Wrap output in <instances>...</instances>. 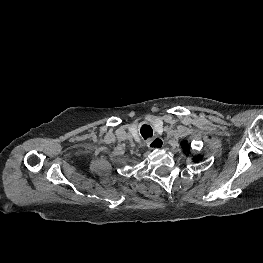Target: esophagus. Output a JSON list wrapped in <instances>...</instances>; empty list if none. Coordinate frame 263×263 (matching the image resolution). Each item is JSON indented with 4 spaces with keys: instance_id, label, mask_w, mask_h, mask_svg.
<instances>
[{
    "instance_id": "1",
    "label": "esophagus",
    "mask_w": 263,
    "mask_h": 263,
    "mask_svg": "<svg viewBox=\"0 0 263 263\" xmlns=\"http://www.w3.org/2000/svg\"><path fill=\"white\" fill-rule=\"evenodd\" d=\"M164 145V141L161 137H155L147 141V146L149 149H160Z\"/></svg>"
}]
</instances>
